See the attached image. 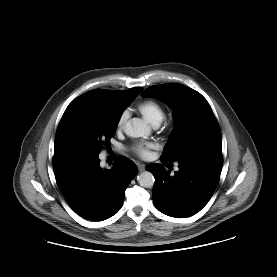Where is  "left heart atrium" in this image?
<instances>
[{"instance_id": "39dd6f15", "label": "left heart atrium", "mask_w": 277, "mask_h": 277, "mask_svg": "<svg viewBox=\"0 0 277 277\" xmlns=\"http://www.w3.org/2000/svg\"><path fill=\"white\" fill-rule=\"evenodd\" d=\"M156 144L154 142H138L132 146V150L141 158H147L150 150L154 149Z\"/></svg>"}]
</instances>
